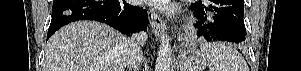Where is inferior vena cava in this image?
Wrapping results in <instances>:
<instances>
[{"instance_id": "inferior-vena-cava-1", "label": "inferior vena cava", "mask_w": 301, "mask_h": 71, "mask_svg": "<svg viewBox=\"0 0 301 71\" xmlns=\"http://www.w3.org/2000/svg\"><path fill=\"white\" fill-rule=\"evenodd\" d=\"M147 41V33L145 31H141L139 33H134L130 39V44L132 46L131 56L128 60V66L130 68H134V70H138L140 65V56L139 52L141 50V47L144 46V44Z\"/></svg>"}]
</instances>
